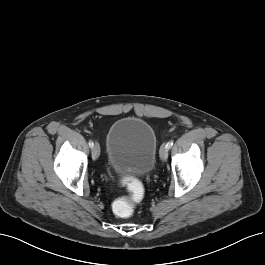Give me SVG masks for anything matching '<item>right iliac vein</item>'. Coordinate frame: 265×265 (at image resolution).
I'll use <instances>...</instances> for the list:
<instances>
[{
    "instance_id": "1",
    "label": "right iliac vein",
    "mask_w": 265,
    "mask_h": 265,
    "mask_svg": "<svg viewBox=\"0 0 265 265\" xmlns=\"http://www.w3.org/2000/svg\"><path fill=\"white\" fill-rule=\"evenodd\" d=\"M100 155V146L99 144L96 142L93 147H92V157L93 159H98Z\"/></svg>"
}]
</instances>
